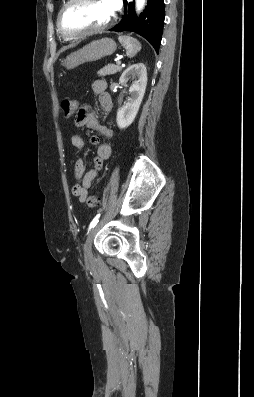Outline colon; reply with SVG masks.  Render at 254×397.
I'll return each mask as SVG.
<instances>
[{
  "instance_id": "colon-1",
  "label": "colon",
  "mask_w": 254,
  "mask_h": 397,
  "mask_svg": "<svg viewBox=\"0 0 254 397\" xmlns=\"http://www.w3.org/2000/svg\"><path fill=\"white\" fill-rule=\"evenodd\" d=\"M78 106L79 102L76 99H65L61 103L63 114L66 117L73 115L78 109ZM86 204L89 208H95L99 204V199L96 195H90L86 200Z\"/></svg>"
}]
</instances>
